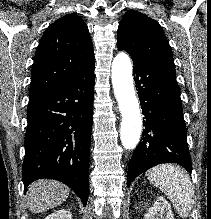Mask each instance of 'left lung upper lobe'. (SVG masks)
<instances>
[{"label":"left lung upper lobe","mask_w":211,"mask_h":219,"mask_svg":"<svg viewBox=\"0 0 211 219\" xmlns=\"http://www.w3.org/2000/svg\"><path fill=\"white\" fill-rule=\"evenodd\" d=\"M117 47L132 58L174 64L171 47L160 25L138 11L124 14L118 27Z\"/></svg>","instance_id":"5c2ea615"}]
</instances>
